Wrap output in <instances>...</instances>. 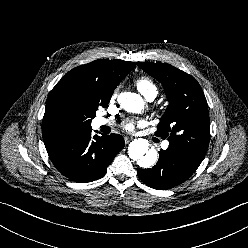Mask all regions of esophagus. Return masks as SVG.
Listing matches in <instances>:
<instances>
[{
    "instance_id": "1",
    "label": "esophagus",
    "mask_w": 248,
    "mask_h": 248,
    "mask_svg": "<svg viewBox=\"0 0 248 248\" xmlns=\"http://www.w3.org/2000/svg\"><path fill=\"white\" fill-rule=\"evenodd\" d=\"M124 140H125V143L128 144L132 140V138L131 137H125Z\"/></svg>"
}]
</instances>
